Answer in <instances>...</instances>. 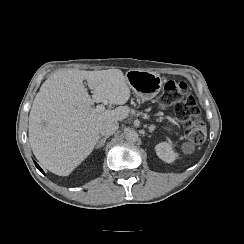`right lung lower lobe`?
<instances>
[{
    "label": "right lung lower lobe",
    "instance_id": "1",
    "mask_svg": "<svg viewBox=\"0 0 244 244\" xmlns=\"http://www.w3.org/2000/svg\"><path fill=\"white\" fill-rule=\"evenodd\" d=\"M36 167L44 174L43 170L40 168V166L35 162Z\"/></svg>",
    "mask_w": 244,
    "mask_h": 244
}]
</instances>
